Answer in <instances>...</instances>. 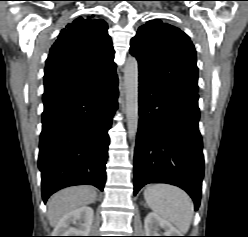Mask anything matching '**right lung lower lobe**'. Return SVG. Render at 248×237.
<instances>
[{"mask_svg": "<svg viewBox=\"0 0 248 237\" xmlns=\"http://www.w3.org/2000/svg\"><path fill=\"white\" fill-rule=\"evenodd\" d=\"M117 84L115 69L87 83L43 94L38 166L44 202L72 185L90 184L103 191Z\"/></svg>", "mask_w": 248, "mask_h": 237, "instance_id": "1", "label": "right lung lower lobe"}]
</instances>
